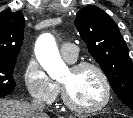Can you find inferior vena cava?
I'll use <instances>...</instances> for the list:
<instances>
[{
  "instance_id": "obj_1",
  "label": "inferior vena cava",
  "mask_w": 133,
  "mask_h": 118,
  "mask_svg": "<svg viewBox=\"0 0 133 118\" xmlns=\"http://www.w3.org/2000/svg\"><path fill=\"white\" fill-rule=\"evenodd\" d=\"M31 107L34 112L37 114L38 118H42L44 116L43 110L45 108L44 102L40 100H33L31 103Z\"/></svg>"
}]
</instances>
